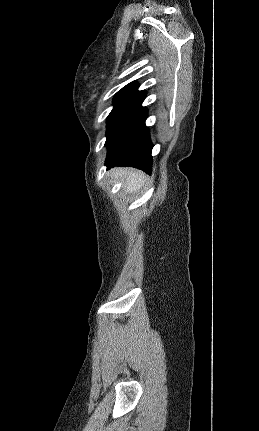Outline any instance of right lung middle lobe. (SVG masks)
Wrapping results in <instances>:
<instances>
[{"label": "right lung middle lobe", "mask_w": 259, "mask_h": 431, "mask_svg": "<svg viewBox=\"0 0 259 431\" xmlns=\"http://www.w3.org/2000/svg\"><path fill=\"white\" fill-rule=\"evenodd\" d=\"M132 89L123 90L114 98V108L107 118V138L118 127L122 120L142 101L146 96L145 91H138L132 95Z\"/></svg>", "instance_id": "1"}]
</instances>
